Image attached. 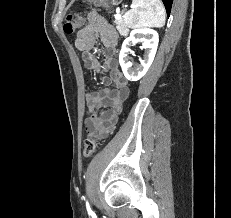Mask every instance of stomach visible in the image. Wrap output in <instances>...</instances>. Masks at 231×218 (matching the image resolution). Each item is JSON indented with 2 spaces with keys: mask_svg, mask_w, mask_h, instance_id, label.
Here are the masks:
<instances>
[{
  "mask_svg": "<svg viewBox=\"0 0 231 218\" xmlns=\"http://www.w3.org/2000/svg\"><path fill=\"white\" fill-rule=\"evenodd\" d=\"M113 1V3H116L117 2V0H112Z\"/></svg>",
  "mask_w": 231,
  "mask_h": 218,
  "instance_id": "obj_1",
  "label": "stomach"
}]
</instances>
